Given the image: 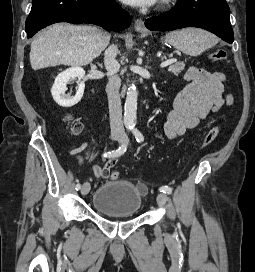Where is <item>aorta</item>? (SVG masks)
I'll use <instances>...</instances> for the list:
<instances>
[{
    "label": "aorta",
    "instance_id": "762f6f07",
    "mask_svg": "<svg viewBox=\"0 0 255 272\" xmlns=\"http://www.w3.org/2000/svg\"><path fill=\"white\" fill-rule=\"evenodd\" d=\"M137 98L138 92L134 84L127 90V96L124 107V124L127 128H133L137 121Z\"/></svg>",
    "mask_w": 255,
    "mask_h": 272
}]
</instances>
